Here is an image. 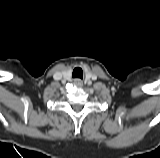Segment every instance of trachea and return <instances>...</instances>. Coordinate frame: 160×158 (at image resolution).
<instances>
[{"label": "trachea", "instance_id": "3493384b", "mask_svg": "<svg viewBox=\"0 0 160 158\" xmlns=\"http://www.w3.org/2000/svg\"><path fill=\"white\" fill-rule=\"evenodd\" d=\"M72 76H73V78H80V79H82L83 78V71H82V69L79 68V67H76L73 70Z\"/></svg>", "mask_w": 160, "mask_h": 158}]
</instances>
